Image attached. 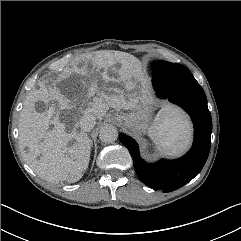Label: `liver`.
I'll return each mask as SVG.
<instances>
[{"instance_id": "6515ba94", "label": "liver", "mask_w": 241, "mask_h": 241, "mask_svg": "<svg viewBox=\"0 0 241 241\" xmlns=\"http://www.w3.org/2000/svg\"><path fill=\"white\" fill-rule=\"evenodd\" d=\"M91 60L93 68L89 73L86 67L78 68L74 65L64 70L58 80L53 81L52 87L47 88L41 83L24 102L19 120L20 148L27 163L49 182H77L88 168L91 140L82 129L77 131L84 114L91 113L102 120L110 107L131 110L141 98L136 83L131 82L140 66L136 57L108 50L98 52ZM110 68L118 73L117 79L109 74ZM75 75L85 76V79L80 80L83 90L69 99L61 93L57 84L76 83ZM120 81H123L124 89L112 86ZM83 95L85 99L81 100ZM51 100L58 103L59 110L72 111L74 126L69 133L66 132V124L60 121L59 111L51 119L46 112L36 110V102L41 101L47 106ZM50 125H53L52 129ZM71 140H74V144L69 147Z\"/></svg>"}]
</instances>
